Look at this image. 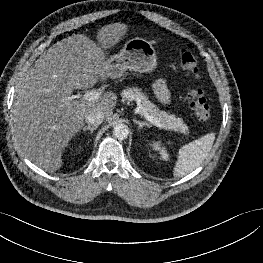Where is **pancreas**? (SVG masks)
<instances>
[{
	"instance_id": "obj_1",
	"label": "pancreas",
	"mask_w": 263,
	"mask_h": 263,
	"mask_svg": "<svg viewBox=\"0 0 263 263\" xmlns=\"http://www.w3.org/2000/svg\"><path fill=\"white\" fill-rule=\"evenodd\" d=\"M121 97L125 101H136L137 104L140 105L139 113H148L150 116L156 118L161 123L162 128L169 131L181 132L184 135L189 134L188 126L184 123L182 118L161 111L150 102L140 88L128 87L122 91Z\"/></svg>"
}]
</instances>
